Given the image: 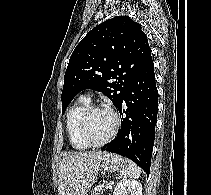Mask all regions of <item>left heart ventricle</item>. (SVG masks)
Wrapping results in <instances>:
<instances>
[{"instance_id": "obj_1", "label": "left heart ventricle", "mask_w": 211, "mask_h": 195, "mask_svg": "<svg viewBox=\"0 0 211 195\" xmlns=\"http://www.w3.org/2000/svg\"><path fill=\"white\" fill-rule=\"evenodd\" d=\"M114 126L112 114L105 110L93 112L87 119L85 135L91 142H99L105 139Z\"/></svg>"}]
</instances>
